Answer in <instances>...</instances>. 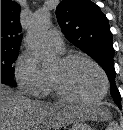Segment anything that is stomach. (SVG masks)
<instances>
[{"instance_id":"1","label":"stomach","mask_w":123,"mask_h":130,"mask_svg":"<svg viewBox=\"0 0 123 130\" xmlns=\"http://www.w3.org/2000/svg\"><path fill=\"white\" fill-rule=\"evenodd\" d=\"M69 130H92V128L84 122H75Z\"/></svg>"}]
</instances>
